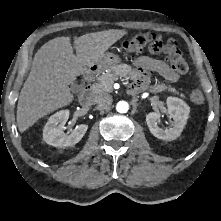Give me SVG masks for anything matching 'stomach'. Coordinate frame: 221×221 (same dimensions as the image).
Returning a JSON list of instances; mask_svg holds the SVG:
<instances>
[{
	"label": "stomach",
	"mask_w": 221,
	"mask_h": 221,
	"mask_svg": "<svg viewBox=\"0 0 221 221\" xmlns=\"http://www.w3.org/2000/svg\"><path fill=\"white\" fill-rule=\"evenodd\" d=\"M120 62H121V59L118 55H116L114 53H105L100 58L97 65L100 69H106V68H110L112 66H115Z\"/></svg>",
	"instance_id": "stomach-1"
}]
</instances>
